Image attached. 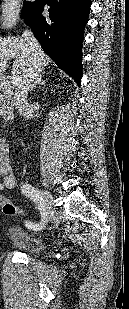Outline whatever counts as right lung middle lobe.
<instances>
[{"label": "right lung middle lobe", "instance_id": "1", "mask_svg": "<svg viewBox=\"0 0 129 309\" xmlns=\"http://www.w3.org/2000/svg\"><path fill=\"white\" fill-rule=\"evenodd\" d=\"M33 5H34V2L25 3L23 13H22V18H24L27 15L28 11L32 8Z\"/></svg>", "mask_w": 129, "mask_h": 309}]
</instances>
